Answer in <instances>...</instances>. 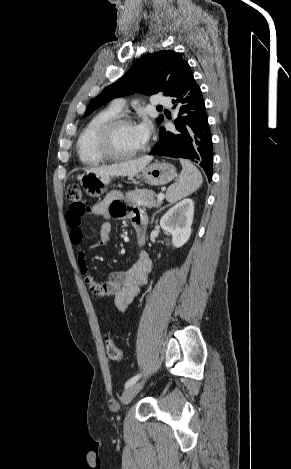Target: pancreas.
Wrapping results in <instances>:
<instances>
[{"mask_svg":"<svg viewBox=\"0 0 291 469\" xmlns=\"http://www.w3.org/2000/svg\"><path fill=\"white\" fill-rule=\"evenodd\" d=\"M157 195L148 189H136L126 193V200L133 206H144L148 208H158L161 206L162 201L155 200Z\"/></svg>","mask_w":291,"mask_h":469,"instance_id":"1","label":"pancreas"}]
</instances>
